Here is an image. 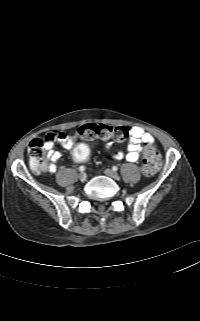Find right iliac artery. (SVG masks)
I'll use <instances>...</instances> for the list:
<instances>
[{
	"mask_svg": "<svg viewBox=\"0 0 200 321\" xmlns=\"http://www.w3.org/2000/svg\"><path fill=\"white\" fill-rule=\"evenodd\" d=\"M85 170V167L84 166H80L79 167V171L83 172Z\"/></svg>",
	"mask_w": 200,
	"mask_h": 321,
	"instance_id": "1",
	"label": "right iliac artery"
}]
</instances>
